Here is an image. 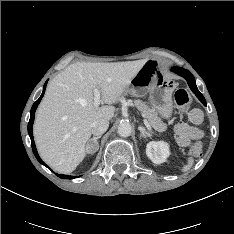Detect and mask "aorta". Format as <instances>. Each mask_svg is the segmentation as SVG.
Listing matches in <instances>:
<instances>
[{
	"mask_svg": "<svg viewBox=\"0 0 234 234\" xmlns=\"http://www.w3.org/2000/svg\"><path fill=\"white\" fill-rule=\"evenodd\" d=\"M117 132L121 137H128L131 135L132 127L128 122H123L119 124Z\"/></svg>",
	"mask_w": 234,
	"mask_h": 234,
	"instance_id": "1",
	"label": "aorta"
}]
</instances>
